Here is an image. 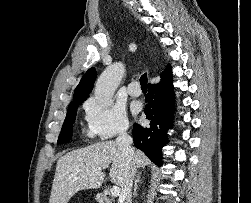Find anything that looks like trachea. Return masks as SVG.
<instances>
[{
  "label": "trachea",
  "mask_w": 251,
  "mask_h": 203,
  "mask_svg": "<svg viewBox=\"0 0 251 203\" xmlns=\"http://www.w3.org/2000/svg\"><path fill=\"white\" fill-rule=\"evenodd\" d=\"M147 82H148L147 73H144L140 78V84L142 90H147Z\"/></svg>",
  "instance_id": "trachea-1"
}]
</instances>
